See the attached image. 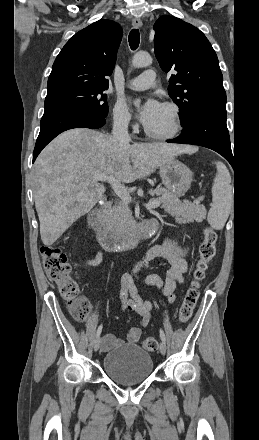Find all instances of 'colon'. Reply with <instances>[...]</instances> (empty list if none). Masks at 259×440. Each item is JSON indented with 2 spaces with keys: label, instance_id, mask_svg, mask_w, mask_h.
Segmentation results:
<instances>
[{
  "label": "colon",
  "instance_id": "colon-1",
  "mask_svg": "<svg viewBox=\"0 0 259 440\" xmlns=\"http://www.w3.org/2000/svg\"><path fill=\"white\" fill-rule=\"evenodd\" d=\"M217 233L210 227L204 229L203 240L199 246V258L193 271V278L182 300L178 320L186 323L192 316L199 298L200 282L205 277L208 264L216 254ZM43 266L48 278L57 284L61 296L67 301L71 316L79 322L84 321L90 313L91 306L87 299L79 295V284L71 275V267L66 254L58 247H41ZM148 351L157 349L158 343L153 337L141 341Z\"/></svg>",
  "mask_w": 259,
  "mask_h": 440
}]
</instances>
